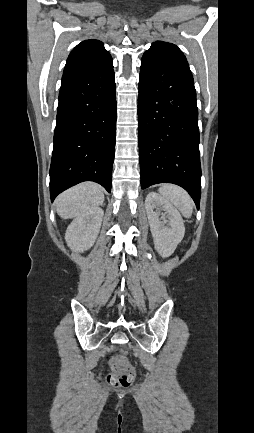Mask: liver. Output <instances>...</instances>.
<instances>
[{"mask_svg":"<svg viewBox=\"0 0 254 433\" xmlns=\"http://www.w3.org/2000/svg\"><path fill=\"white\" fill-rule=\"evenodd\" d=\"M103 202V188L96 183L85 182L60 194L55 204L58 215L70 219L98 208Z\"/></svg>","mask_w":254,"mask_h":433,"instance_id":"1","label":"liver"}]
</instances>
